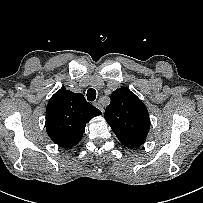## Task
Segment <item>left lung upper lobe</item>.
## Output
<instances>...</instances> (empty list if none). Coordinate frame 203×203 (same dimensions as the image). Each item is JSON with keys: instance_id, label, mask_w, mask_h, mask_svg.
Returning <instances> with one entry per match:
<instances>
[{"instance_id": "5c2ea615", "label": "left lung upper lobe", "mask_w": 203, "mask_h": 203, "mask_svg": "<svg viewBox=\"0 0 203 203\" xmlns=\"http://www.w3.org/2000/svg\"><path fill=\"white\" fill-rule=\"evenodd\" d=\"M105 119L125 146H141L150 129L149 113L144 103L128 88L121 87L111 94Z\"/></svg>"}]
</instances>
